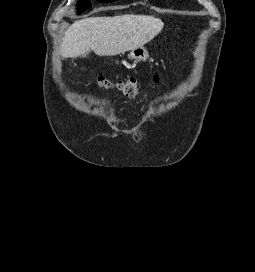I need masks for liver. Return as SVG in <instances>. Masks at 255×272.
Returning <instances> with one entry per match:
<instances>
[{
    "mask_svg": "<svg viewBox=\"0 0 255 272\" xmlns=\"http://www.w3.org/2000/svg\"><path fill=\"white\" fill-rule=\"evenodd\" d=\"M163 26L161 19L147 15L84 18L66 30L61 55L77 58L90 49L99 56L118 55L148 43Z\"/></svg>",
    "mask_w": 255,
    "mask_h": 272,
    "instance_id": "1",
    "label": "liver"
}]
</instances>
